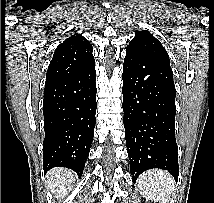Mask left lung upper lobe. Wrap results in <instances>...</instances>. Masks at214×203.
<instances>
[{
  "label": "left lung upper lobe",
  "mask_w": 214,
  "mask_h": 203,
  "mask_svg": "<svg viewBox=\"0 0 214 203\" xmlns=\"http://www.w3.org/2000/svg\"><path fill=\"white\" fill-rule=\"evenodd\" d=\"M126 51H132L151 57L170 66L169 56L161 42L146 30L136 31Z\"/></svg>",
  "instance_id": "1"
}]
</instances>
